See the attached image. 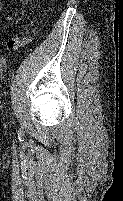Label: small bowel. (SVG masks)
Masks as SVG:
<instances>
[{"instance_id": "c3829d8e", "label": "small bowel", "mask_w": 123, "mask_h": 201, "mask_svg": "<svg viewBox=\"0 0 123 201\" xmlns=\"http://www.w3.org/2000/svg\"><path fill=\"white\" fill-rule=\"evenodd\" d=\"M2 7V0H0V12L2 11ZM30 40V37H24L22 39L20 35L16 33L9 42V47L13 51H19L24 45L28 44Z\"/></svg>"}]
</instances>
